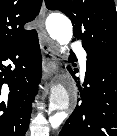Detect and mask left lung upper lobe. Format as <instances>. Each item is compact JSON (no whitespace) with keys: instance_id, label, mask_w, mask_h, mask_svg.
I'll list each match as a JSON object with an SVG mask.
<instances>
[{"instance_id":"5c2ea615","label":"left lung upper lobe","mask_w":117,"mask_h":136,"mask_svg":"<svg viewBox=\"0 0 117 136\" xmlns=\"http://www.w3.org/2000/svg\"><path fill=\"white\" fill-rule=\"evenodd\" d=\"M49 10H60L73 23L76 39L88 55L117 58V13L114 0H45Z\"/></svg>"}]
</instances>
